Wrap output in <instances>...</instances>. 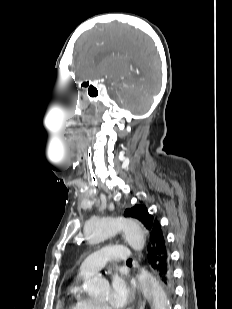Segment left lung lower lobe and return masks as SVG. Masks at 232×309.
Returning a JSON list of instances; mask_svg holds the SVG:
<instances>
[{"instance_id":"left-lung-lower-lobe-1","label":"left lung lower lobe","mask_w":232,"mask_h":309,"mask_svg":"<svg viewBox=\"0 0 232 309\" xmlns=\"http://www.w3.org/2000/svg\"><path fill=\"white\" fill-rule=\"evenodd\" d=\"M149 265L158 274L166 291H172V267L170 252L160 223L156 224L147 244Z\"/></svg>"}]
</instances>
